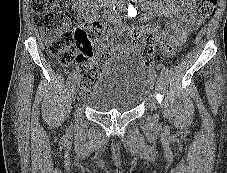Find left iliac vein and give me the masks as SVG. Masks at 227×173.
I'll return each mask as SVG.
<instances>
[{
	"instance_id": "4c4485c4",
	"label": "left iliac vein",
	"mask_w": 227,
	"mask_h": 173,
	"mask_svg": "<svg viewBox=\"0 0 227 173\" xmlns=\"http://www.w3.org/2000/svg\"><path fill=\"white\" fill-rule=\"evenodd\" d=\"M148 85L151 89L154 88V78L151 77L150 75L148 76Z\"/></svg>"
}]
</instances>
